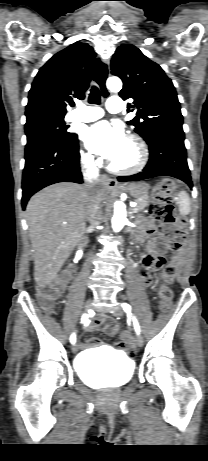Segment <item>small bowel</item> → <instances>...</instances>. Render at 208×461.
Listing matches in <instances>:
<instances>
[{
    "label": "small bowel",
    "instance_id": "1",
    "mask_svg": "<svg viewBox=\"0 0 208 461\" xmlns=\"http://www.w3.org/2000/svg\"><path fill=\"white\" fill-rule=\"evenodd\" d=\"M146 213L145 211L143 212ZM154 234L153 238L151 235ZM184 229H178V225H155L154 220L145 219L139 232L136 234V239L146 244L147 255L144 259V269L141 271V280L145 285L151 284V271L157 267L156 259L162 257L161 254L165 248H168L171 244L176 242H183L184 240ZM68 269L75 271L77 269L76 263H69ZM62 281L68 280L69 276L62 274L60 276ZM88 330L100 329L106 332L108 335L113 336L118 331V326L114 320L110 317L95 320L92 323L87 324ZM123 337L128 336L127 342H131L130 334L127 332L121 333ZM121 337H112L110 341V349L113 354H121L124 351L122 347ZM102 345V342L98 338H90L83 340L79 347L81 349H87L90 347H96Z\"/></svg>",
    "mask_w": 208,
    "mask_h": 461
}]
</instances>
